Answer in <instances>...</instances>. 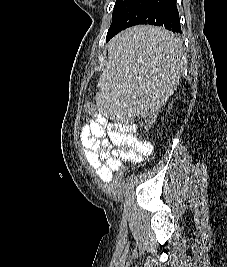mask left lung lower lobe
Wrapping results in <instances>:
<instances>
[{"label":"left lung lower lobe","instance_id":"obj_1","mask_svg":"<svg viewBox=\"0 0 227 267\" xmlns=\"http://www.w3.org/2000/svg\"><path fill=\"white\" fill-rule=\"evenodd\" d=\"M139 24L162 26L173 33L181 34L176 0H127L113 12L106 42L122 30ZM159 43L147 38L139 39L132 45L136 50H145L151 46L159 45Z\"/></svg>","mask_w":227,"mask_h":267}]
</instances>
